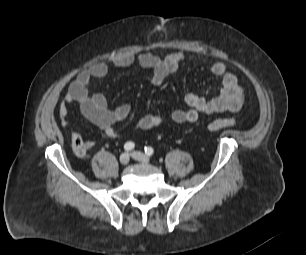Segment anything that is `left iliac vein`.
<instances>
[{"label": "left iliac vein", "instance_id": "4c4485c4", "mask_svg": "<svg viewBox=\"0 0 306 255\" xmlns=\"http://www.w3.org/2000/svg\"><path fill=\"white\" fill-rule=\"evenodd\" d=\"M132 158H134L135 160L142 162L146 165L150 164V159L148 156H146L144 153L139 152V151H133L131 153Z\"/></svg>", "mask_w": 306, "mask_h": 255}]
</instances>
